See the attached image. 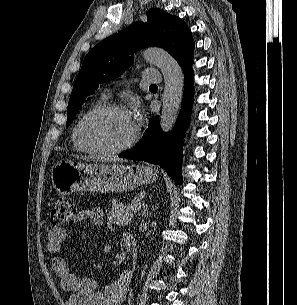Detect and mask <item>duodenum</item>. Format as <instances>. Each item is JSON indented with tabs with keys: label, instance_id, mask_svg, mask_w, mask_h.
Returning a JSON list of instances; mask_svg holds the SVG:
<instances>
[{
	"label": "duodenum",
	"instance_id": "1",
	"mask_svg": "<svg viewBox=\"0 0 297 305\" xmlns=\"http://www.w3.org/2000/svg\"><path fill=\"white\" fill-rule=\"evenodd\" d=\"M124 246L127 251L131 252L133 250V238L131 235L128 234L124 237Z\"/></svg>",
	"mask_w": 297,
	"mask_h": 305
}]
</instances>
